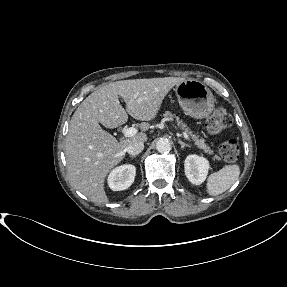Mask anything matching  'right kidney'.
<instances>
[{
  "label": "right kidney",
  "instance_id": "obj_1",
  "mask_svg": "<svg viewBox=\"0 0 287 287\" xmlns=\"http://www.w3.org/2000/svg\"><path fill=\"white\" fill-rule=\"evenodd\" d=\"M136 168L131 164L116 167L108 176V185L113 191H121L129 188L134 182Z\"/></svg>",
  "mask_w": 287,
  "mask_h": 287
}]
</instances>
